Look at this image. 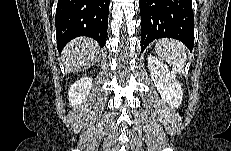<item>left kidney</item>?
I'll return each instance as SVG.
<instances>
[{
    "label": "left kidney",
    "instance_id": "obj_1",
    "mask_svg": "<svg viewBox=\"0 0 231 151\" xmlns=\"http://www.w3.org/2000/svg\"><path fill=\"white\" fill-rule=\"evenodd\" d=\"M147 60L151 78L161 95L162 101L167 103L172 109L178 108L183 98L180 83L168 70L167 66L157 58L149 55Z\"/></svg>",
    "mask_w": 231,
    "mask_h": 151
}]
</instances>
